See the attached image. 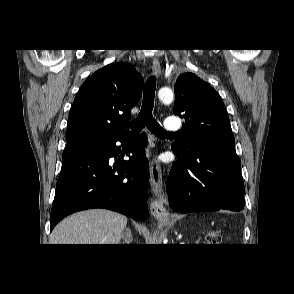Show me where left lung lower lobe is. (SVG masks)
<instances>
[{
	"mask_svg": "<svg viewBox=\"0 0 294 294\" xmlns=\"http://www.w3.org/2000/svg\"><path fill=\"white\" fill-rule=\"evenodd\" d=\"M177 157L167 179V194L174 211L181 213L240 211L244 208V183L240 159L226 150L195 148Z\"/></svg>",
	"mask_w": 294,
	"mask_h": 294,
	"instance_id": "1",
	"label": "left lung lower lobe"
}]
</instances>
